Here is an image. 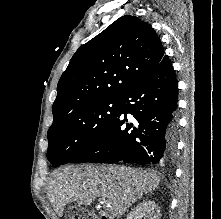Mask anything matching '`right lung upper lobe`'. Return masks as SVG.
Instances as JSON below:
<instances>
[{"label": "right lung upper lobe", "instance_id": "obj_1", "mask_svg": "<svg viewBox=\"0 0 221 219\" xmlns=\"http://www.w3.org/2000/svg\"><path fill=\"white\" fill-rule=\"evenodd\" d=\"M164 57L160 39L147 22L120 17L71 58L58 82L54 121L83 104L120 99Z\"/></svg>", "mask_w": 221, "mask_h": 219}]
</instances>
